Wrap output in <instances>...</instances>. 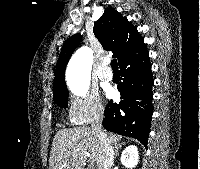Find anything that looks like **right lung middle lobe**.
I'll return each instance as SVG.
<instances>
[{"mask_svg": "<svg viewBox=\"0 0 200 169\" xmlns=\"http://www.w3.org/2000/svg\"><path fill=\"white\" fill-rule=\"evenodd\" d=\"M68 95V92H63L59 94H54L53 98L60 107L66 108L68 104Z\"/></svg>", "mask_w": 200, "mask_h": 169, "instance_id": "1", "label": "right lung middle lobe"}]
</instances>
